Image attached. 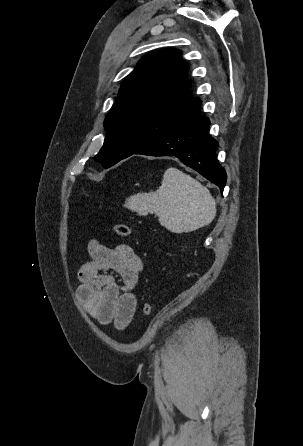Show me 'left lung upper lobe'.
Returning <instances> with one entry per match:
<instances>
[{"label": "left lung upper lobe", "mask_w": 303, "mask_h": 446, "mask_svg": "<svg viewBox=\"0 0 303 446\" xmlns=\"http://www.w3.org/2000/svg\"><path fill=\"white\" fill-rule=\"evenodd\" d=\"M181 51L144 56L122 83L107 114V135L94 157L105 168L170 133L199 99L192 96Z\"/></svg>", "instance_id": "obj_1"}]
</instances>
